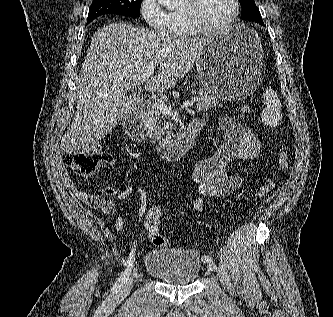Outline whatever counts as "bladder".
Instances as JSON below:
<instances>
[{"instance_id":"31cf9c89","label":"bladder","mask_w":333,"mask_h":317,"mask_svg":"<svg viewBox=\"0 0 333 317\" xmlns=\"http://www.w3.org/2000/svg\"><path fill=\"white\" fill-rule=\"evenodd\" d=\"M145 271L165 283L189 285L201 274L202 261L189 248L151 249L145 254Z\"/></svg>"}]
</instances>
